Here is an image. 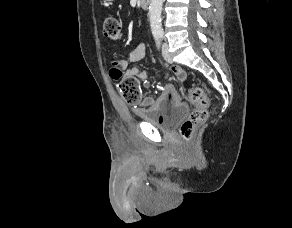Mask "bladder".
<instances>
[{
    "label": "bladder",
    "mask_w": 292,
    "mask_h": 228,
    "mask_svg": "<svg viewBox=\"0 0 292 228\" xmlns=\"http://www.w3.org/2000/svg\"><path fill=\"white\" fill-rule=\"evenodd\" d=\"M189 111V107L185 103L174 105L167 112L162 114H151L142 116V121L151 124L160 129H170L182 120Z\"/></svg>",
    "instance_id": "bladder-1"
}]
</instances>
